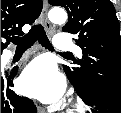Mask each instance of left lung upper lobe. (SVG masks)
I'll return each instance as SVG.
<instances>
[{
  "mask_svg": "<svg viewBox=\"0 0 121 113\" xmlns=\"http://www.w3.org/2000/svg\"><path fill=\"white\" fill-rule=\"evenodd\" d=\"M64 7L68 22L64 32L76 34L83 52L74 67L64 66L74 85L100 84L121 96V37L119 21L110 0H49Z\"/></svg>",
  "mask_w": 121,
  "mask_h": 113,
  "instance_id": "5c2ea615",
  "label": "left lung upper lobe"
}]
</instances>
